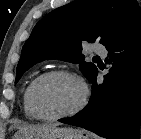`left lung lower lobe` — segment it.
<instances>
[{
    "label": "left lung lower lobe",
    "instance_id": "1",
    "mask_svg": "<svg viewBox=\"0 0 141 139\" xmlns=\"http://www.w3.org/2000/svg\"><path fill=\"white\" fill-rule=\"evenodd\" d=\"M109 73L96 83L90 77L92 95L88 105L62 123L83 127L110 139H138L141 122V22L106 46Z\"/></svg>",
    "mask_w": 141,
    "mask_h": 139
}]
</instances>
